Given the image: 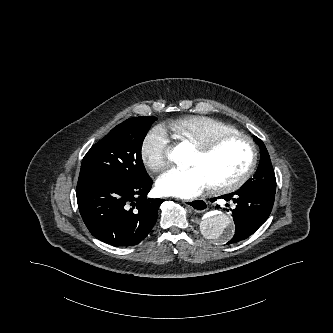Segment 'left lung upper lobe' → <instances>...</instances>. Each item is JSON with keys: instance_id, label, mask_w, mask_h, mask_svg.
<instances>
[{"instance_id": "1", "label": "left lung upper lobe", "mask_w": 333, "mask_h": 333, "mask_svg": "<svg viewBox=\"0 0 333 333\" xmlns=\"http://www.w3.org/2000/svg\"><path fill=\"white\" fill-rule=\"evenodd\" d=\"M254 141L260 147V162L257 171L253 178H250L240 188L241 190L248 191H262L275 195L276 192V178L271 164L270 156L264 143L258 138L254 137Z\"/></svg>"}]
</instances>
